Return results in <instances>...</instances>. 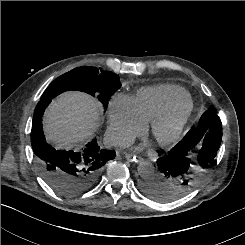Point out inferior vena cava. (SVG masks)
Here are the masks:
<instances>
[{"mask_svg": "<svg viewBox=\"0 0 245 245\" xmlns=\"http://www.w3.org/2000/svg\"><path fill=\"white\" fill-rule=\"evenodd\" d=\"M105 143L108 146H118L121 148H126L131 146L133 144V141L125 138H110L109 136H106Z\"/></svg>", "mask_w": 245, "mask_h": 245, "instance_id": "inferior-vena-cava-1", "label": "inferior vena cava"}]
</instances>
